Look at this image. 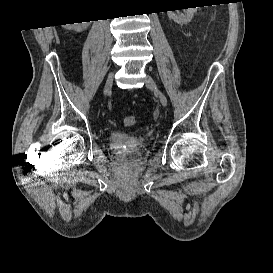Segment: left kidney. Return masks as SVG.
<instances>
[{"mask_svg": "<svg viewBox=\"0 0 273 273\" xmlns=\"http://www.w3.org/2000/svg\"><path fill=\"white\" fill-rule=\"evenodd\" d=\"M182 11L183 13H179L178 10L167 11V15L175 23L179 25H184L189 23L192 20L194 13L197 11V8H188V9H183Z\"/></svg>", "mask_w": 273, "mask_h": 273, "instance_id": "left-kidney-1", "label": "left kidney"}]
</instances>
